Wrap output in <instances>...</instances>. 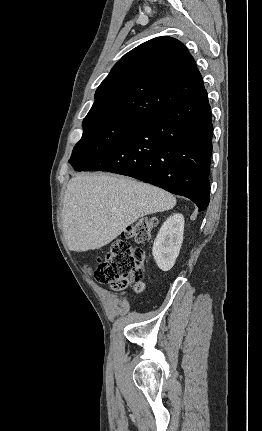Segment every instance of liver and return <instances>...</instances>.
I'll return each mask as SVG.
<instances>
[{
	"label": "liver",
	"instance_id": "liver-1",
	"mask_svg": "<svg viewBox=\"0 0 262 431\" xmlns=\"http://www.w3.org/2000/svg\"><path fill=\"white\" fill-rule=\"evenodd\" d=\"M176 198L131 178L99 173L72 178L63 201V233L70 250L99 249L140 217L172 209Z\"/></svg>",
	"mask_w": 262,
	"mask_h": 431
}]
</instances>
